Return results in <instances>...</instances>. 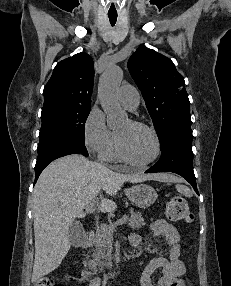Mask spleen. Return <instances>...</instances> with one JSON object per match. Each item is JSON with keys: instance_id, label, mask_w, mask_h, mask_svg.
<instances>
[{"instance_id": "1", "label": "spleen", "mask_w": 231, "mask_h": 286, "mask_svg": "<svg viewBox=\"0 0 231 286\" xmlns=\"http://www.w3.org/2000/svg\"><path fill=\"white\" fill-rule=\"evenodd\" d=\"M176 189L179 193L183 194L186 197H192V191L185 185L177 184Z\"/></svg>"}]
</instances>
